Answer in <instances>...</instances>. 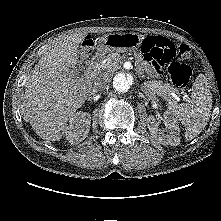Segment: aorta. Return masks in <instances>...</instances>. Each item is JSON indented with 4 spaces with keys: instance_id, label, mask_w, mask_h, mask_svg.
Here are the masks:
<instances>
[{
    "instance_id": "1",
    "label": "aorta",
    "mask_w": 221,
    "mask_h": 221,
    "mask_svg": "<svg viewBox=\"0 0 221 221\" xmlns=\"http://www.w3.org/2000/svg\"><path fill=\"white\" fill-rule=\"evenodd\" d=\"M131 85L132 81L125 73H118L113 78V87L117 92H127Z\"/></svg>"
}]
</instances>
